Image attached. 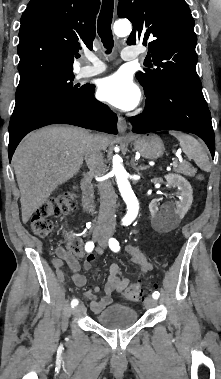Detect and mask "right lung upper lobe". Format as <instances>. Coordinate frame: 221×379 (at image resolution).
Listing matches in <instances>:
<instances>
[{
    "label": "right lung upper lobe",
    "instance_id": "right-lung-upper-lobe-1",
    "mask_svg": "<svg viewBox=\"0 0 221 379\" xmlns=\"http://www.w3.org/2000/svg\"><path fill=\"white\" fill-rule=\"evenodd\" d=\"M100 0H31L21 17L20 81L73 70L82 46L92 49Z\"/></svg>",
    "mask_w": 221,
    "mask_h": 379
}]
</instances>
